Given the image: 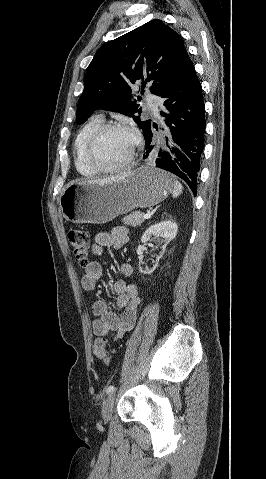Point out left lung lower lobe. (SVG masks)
Returning <instances> with one entry per match:
<instances>
[{
	"mask_svg": "<svg viewBox=\"0 0 266 479\" xmlns=\"http://www.w3.org/2000/svg\"><path fill=\"white\" fill-rule=\"evenodd\" d=\"M163 98L168 113L161 112V116L165 117L169 134L163 142H155L150 128L144 134L143 158L182 178L196 196L206 123L201 84L192 62ZM154 128L158 130L155 125Z\"/></svg>",
	"mask_w": 266,
	"mask_h": 479,
	"instance_id": "1",
	"label": "left lung lower lobe"
}]
</instances>
